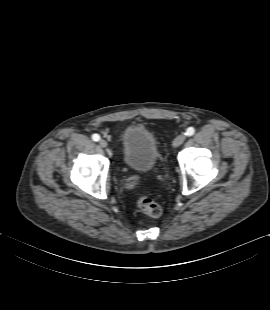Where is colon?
<instances>
[{
	"label": "colon",
	"instance_id": "colon-1",
	"mask_svg": "<svg viewBox=\"0 0 270 310\" xmlns=\"http://www.w3.org/2000/svg\"><path fill=\"white\" fill-rule=\"evenodd\" d=\"M138 207L144 214L153 218H158L163 213L161 205L148 196L139 197Z\"/></svg>",
	"mask_w": 270,
	"mask_h": 310
}]
</instances>
